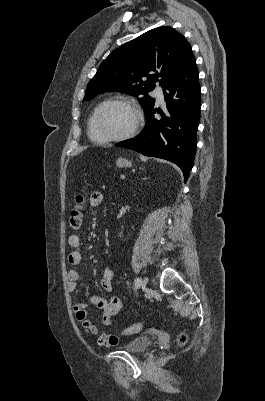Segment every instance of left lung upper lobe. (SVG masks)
Instances as JSON below:
<instances>
[{"label":"left lung upper lobe","instance_id":"obj_1","mask_svg":"<svg viewBox=\"0 0 265 401\" xmlns=\"http://www.w3.org/2000/svg\"><path fill=\"white\" fill-rule=\"evenodd\" d=\"M192 55L189 42L173 28L152 29L114 50L103 61L89 82L83 100L114 91L134 97L144 95L138 101L146 113L155 103L147 92L158 81L162 87L166 86Z\"/></svg>","mask_w":265,"mask_h":401}]
</instances>
